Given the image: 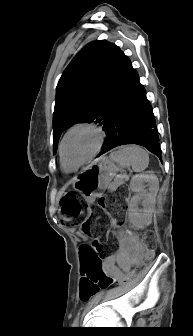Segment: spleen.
I'll return each instance as SVG.
<instances>
[{"label": "spleen", "mask_w": 193, "mask_h": 336, "mask_svg": "<svg viewBox=\"0 0 193 336\" xmlns=\"http://www.w3.org/2000/svg\"><path fill=\"white\" fill-rule=\"evenodd\" d=\"M110 158L122 167L131 166L135 172H141L148 167V153L137 145H128L120 147L111 152Z\"/></svg>", "instance_id": "obj_1"}]
</instances>
